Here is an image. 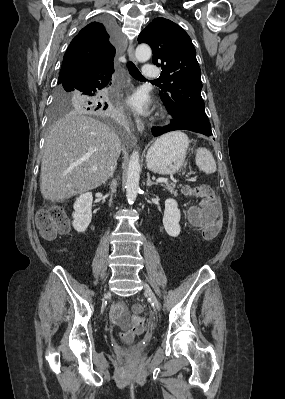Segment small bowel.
<instances>
[{
  "label": "small bowel",
  "instance_id": "obj_1",
  "mask_svg": "<svg viewBox=\"0 0 285 399\" xmlns=\"http://www.w3.org/2000/svg\"><path fill=\"white\" fill-rule=\"evenodd\" d=\"M208 202L210 204H217V201L212 199L211 197L209 198ZM188 218L190 220V222L197 227H206L209 224H211L215 218V215L203 208V209H192L189 214H188ZM124 306L121 303H116L113 305V307L110 310V318L112 320V322L117 325L118 321L122 315Z\"/></svg>",
  "mask_w": 285,
  "mask_h": 399
}]
</instances>
